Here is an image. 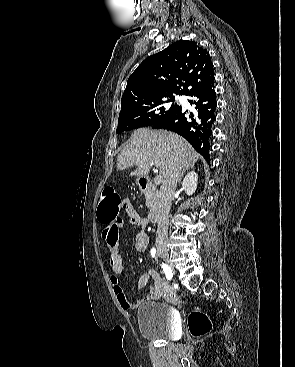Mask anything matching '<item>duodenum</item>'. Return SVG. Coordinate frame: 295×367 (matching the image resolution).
Wrapping results in <instances>:
<instances>
[{
    "label": "duodenum",
    "instance_id": "duodenum-1",
    "mask_svg": "<svg viewBox=\"0 0 295 367\" xmlns=\"http://www.w3.org/2000/svg\"><path fill=\"white\" fill-rule=\"evenodd\" d=\"M139 186L141 190L149 192L155 196V202L150 209L148 219L150 222H156L162 213V204L160 201L159 191L148 177H141L139 179Z\"/></svg>",
    "mask_w": 295,
    "mask_h": 367
}]
</instances>
